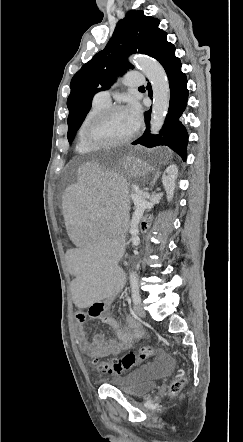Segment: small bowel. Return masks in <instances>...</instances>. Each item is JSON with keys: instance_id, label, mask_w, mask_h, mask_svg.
I'll return each instance as SVG.
<instances>
[{"instance_id": "small-bowel-1", "label": "small bowel", "mask_w": 243, "mask_h": 442, "mask_svg": "<svg viewBox=\"0 0 243 442\" xmlns=\"http://www.w3.org/2000/svg\"><path fill=\"white\" fill-rule=\"evenodd\" d=\"M116 296H109L103 302H96L95 307H89L88 313L92 318L101 319L115 331L114 338H106L102 333L89 337L85 331V316L78 313L75 316L76 337L80 348L89 355L108 357L119 354L121 351L132 347L143 336V331L131 316L126 317L127 329H122L119 322L110 316H104L106 306L110 305Z\"/></svg>"}]
</instances>
